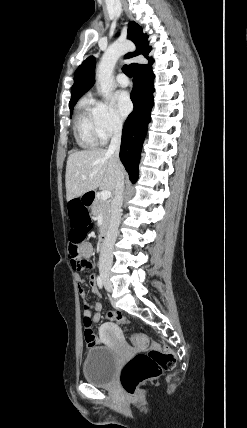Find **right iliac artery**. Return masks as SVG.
I'll list each match as a JSON object with an SVG mask.
<instances>
[{
	"label": "right iliac artery",
	"mask_w": 247,
	"mask_h": 428,
	"mask_svg": "<svg viewBox=\"0 0 247 428\" xmlns=\"http://www.w3.org/2000/svg\"><path fill=\"white\" fill-rule=\"evenodd\" d=\"M97 285L99 286L100 289L103 288V280H102L101 276L97 277Z\"/></svg>",
	"instance_id": "82829eb1"
}]
</instances>
